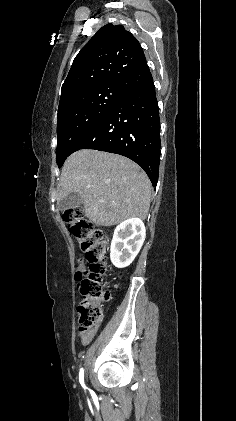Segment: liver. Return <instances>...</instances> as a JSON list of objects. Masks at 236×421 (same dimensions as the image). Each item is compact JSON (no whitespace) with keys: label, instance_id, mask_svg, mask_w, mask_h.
<instances>
[{"label":"liver","instance_id":"obj_1","mask_svg":"<svg viewBox=\"0 0 236 421\" xmlns=\"http://www.w3.org/2000/svg\"><path fill=\"white\" fill-rule=\"evenodd\" d=\"M151 182L139 164L113 152L82 148L62 166L57 202L79 192L84 211L94 225L111 227L126 219H146Z\"/></svg>","mask_w":236,"mask_h":421}]
</instances>
